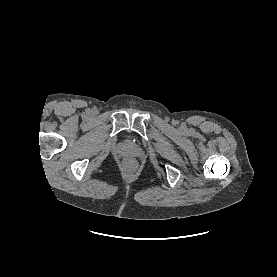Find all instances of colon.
<instances>
[{
    "label": "colon",
    "mask_w": 277,
    "mask_h": 277,
    "mask_svg": "<svg viewBox=\"0 0 277 277\" xmlns=\"http://www.w3.org/2000/svg\"><path fill=\"white\" fill-rule=\"evenodd\" d=\"M124 166L130 170H133L135 168V162L132 159H126L124 161Z\"/></svg>",
    "instance_id": "1"
}]
</instances>
